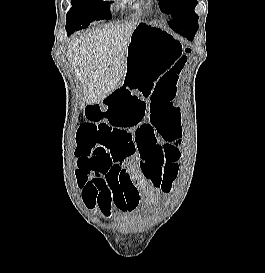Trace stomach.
I'll use <instances>...</instances> for the list:
<instances>
[{"label":"stomach","mask_w":265,"mask_h":273,"mask_svg":"<svg viewBox=\"0 0 265 273\" xmlns=\"http://www.w3.org/2000/svg\"><path fill=\"white\" fill-rule=\"evenodd\" d=\"M181 48L178 38L154 24L139 23L131 35L126 69L115 90H131L132 95H150L155 81L175 62Z\"/></svg>","instance_id":"obj_1"}]
</instances>
